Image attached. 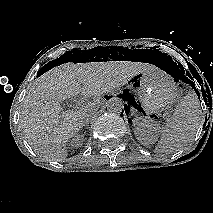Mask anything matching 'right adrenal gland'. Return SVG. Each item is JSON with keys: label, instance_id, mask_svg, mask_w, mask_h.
<instances>
[{"label": "right adrenal gland", "instance_id": "1", "mask_svg": "<svg viewBox=\"0 0 213 213\" xmlns=\"http://www.w3.org/2000/svg\"><path fill=\"white\" fill-rule=\"evenodd\" d=\"M84 126L88 127V126H89V123H88V122H85V123H84Z\"/></svg>", "mask_w": 213, "mask_h": 213}]
</instances>
